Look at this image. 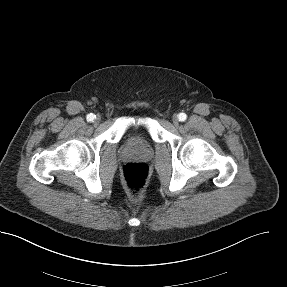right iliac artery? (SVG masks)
<instances>
[{"instance_id":"1","label":"right iliac artery","mask_w":287,"mask_h":287,"mask_svg":"<svg viewBox=\"0 0 287 287\" xmlns=\"http://www.w3.org/2000/svg\"><path fill=\"white\" fill-rule=\"evenodd\" d=\"M95 118H96V116L92 113L87 115V121H89V122H92Z\"/></svg>"}]
</instances>
